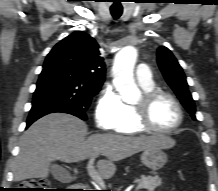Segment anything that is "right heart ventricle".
<instances>
[{"mask_svg":"<svg viewBox=\"0 0 218 191\" xmlns=\"http://www.w3.org/2000/svg\"><path fill=\"white\" fill-rule=\"evenodd\" d=\"M141 87L145 91L155 88L153 83L145 86L141 85ZM115 130L123 134H139L145 131L138 125L136 121L134 106L125 104L124 117L120 121V123L118 124Z\"/></svg>","mask_w":218,"mask_h":191,"instance_id":"right-heart-ventricle-1","label":"right heart ventricle"}]
</instances>
